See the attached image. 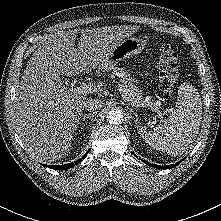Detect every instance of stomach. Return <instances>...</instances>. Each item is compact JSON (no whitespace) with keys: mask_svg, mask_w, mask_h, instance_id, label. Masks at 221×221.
<instances>
[{"mask_svg":"<svg viewBox=\"0 0 221 221\" xmlns=\"http://www.w3.org/2000/svg\"><path fill=\"white\" fill-rule=\"evenodd\" d=\"M145 45L146 41L140 37L124 39L110 52L98 69L101 71L114 69L120 61L141 53Z\"/></svg>","mask_w":221,"mask_h":221,"instance_id":"1","label":"stomach"}]
</instances>
